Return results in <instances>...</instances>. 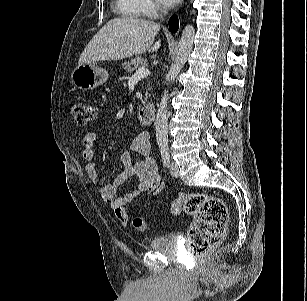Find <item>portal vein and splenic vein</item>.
Returning <instances> with one entry per match:
<instances>
[{"instance_id":"portal-vein-and-splenic-vein-1","label":"portal vein and splenic vein","mask_w":307,"mask_h":301,"mask_svg":"<svg viewBox=\"0 0 307 301\" xmlns=\"http://www.w3.org/2000/svg\"><path fill=\"white\" fill-rule=\"evenodd\" d=\"M150 74V70L147 67H140L136 72L131 76V80H139L147 77Z\"/></svg>"}]
</instances>
